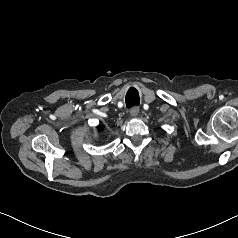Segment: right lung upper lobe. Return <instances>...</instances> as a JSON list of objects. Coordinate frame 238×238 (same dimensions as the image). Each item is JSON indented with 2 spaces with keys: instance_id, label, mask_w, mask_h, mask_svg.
Wrapping results in <instances>:
<instances>
[{
  "instance_id": "1",
  "label": "right lung upper lobe",
  "mask_w": 238,
  "mask_h": 238,
  "mask_svg": "<svg viewBox=\"0 0 238 238\" xmlns=\"http://www.w3.org/2000/svg\"><path fill=\"white\" fill-rule=\"evenodd\" d=\"M98 128H99V130H100V129H102L103 127H100V126H99Z\"/></svg>"
}]
</instances>
